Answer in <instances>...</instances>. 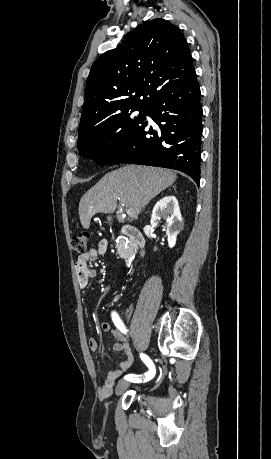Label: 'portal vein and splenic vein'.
I'll return each mask as SVG.
<instances>
[{
  "mask_svg": "<svg viewBox=\"0 0 271 459\" xmlns=\"http://www.w3.org/2000/svg\"><path fill=\"white\" fill-rule=\"evenodd\" d=\"M126 214H128L129 218H135V216H136L135 210H133V208H129V210H127Z\"/></svg>",
  "mask_w": 271,
  "mask_h": 459,
  "instance_id": "1",
  "label": "portal vein and splenic vein"
}]
</instances>
